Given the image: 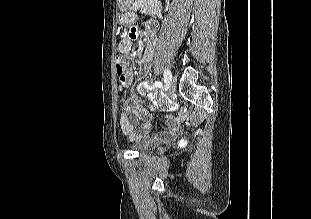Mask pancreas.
I'll list each match as a JSON object with an SVG mask.
<instances>
[{
  "mask_svg": "<svg viewBox=\"0 0 311 219\" xmlns=\"http://www.w3.org/2000/svg\"><path fill=\"white\" fill-rule=\"evenodd\" d=\"M156 6L155 0H135V3L131 6L132 11L141 9L143 13H147L154 9Z\"/></svg>",
  "mask_w": 311,
  "mask_h": 219,
  "instance_id": "pancreas-1",
  "label": "pancreas"
}]
</instances>
